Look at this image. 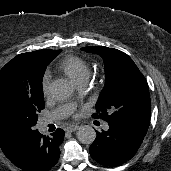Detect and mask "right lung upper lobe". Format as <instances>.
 I'll return each instance as SVG.
<instances>
[{
  "instance_id": "right-lung-upper-lobe-1",
  "label": "right lung upper lobe",
  "mask_w": 171,
  "mask_h": 171,
  "mask_svg": "<svg viewBox=\"0 0 171 171\" xmlns=\"http://www.w3.org/2000/svg\"><path fill=\"white\" fill-rule=\"evenodd\" d=\"M59 50H38L33 52L24 53L28 56L40 57V58H49L52 55L56 54ZM4 152V151H3ZM7 158L10 160L14 157L15 154H7L4 152Z\"/></svg>"
}]
</instances>
